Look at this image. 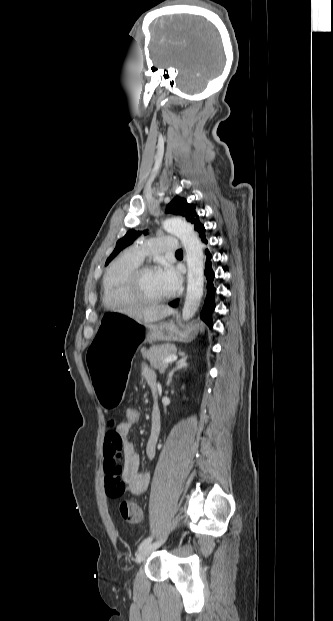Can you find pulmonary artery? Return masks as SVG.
I'll use <instances>...</instances> for the list:
<instances>
[{
  "label": "pulmonary artery",
  "instance_id": "e3ab8cb5",
  "mask_svg": "<svg viewBox=\"0 0 333 621\" xmlns=\"http://www.w3.org/2000/svg\"><path fill=\"white\" fill-rule=\"evenodd\" d=\"M179 249L177 238L173 236H162L150 240L142 241L132 246L128 254L137 261L142 262L146 256L156 255L163 252H176Z\"/></svg>",
  "mask_w": 333,
  "mask_h": 621
}]
</instances>
